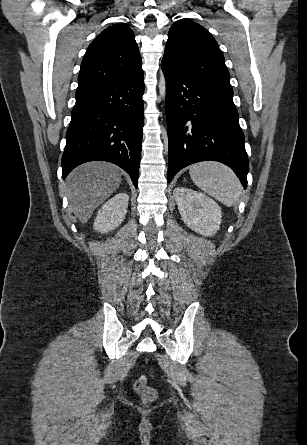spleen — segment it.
I'll list each match as a JSON object with an SVG mask.
<instances>
[{"mask_svg": "<svg viewBox=\"0 0 307 445\" xmlns=\"http://www.w3.org/2000/svg\"><path fill=\"white\" fill-rule=\"evenodd\" d=\"M189 174L196 186L226 206L235 204L241 194L239 178L232 168L222 162H196L189 166Z\"/></svg>", "mask_w": 307, "mask_h": 445, "instance_id": "1", "label": "spleen"}]
</instances>
